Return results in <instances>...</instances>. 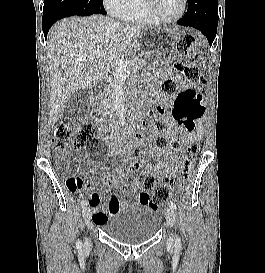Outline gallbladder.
<instances>
[{
	"mask_svg": "<svg viewBox=\"0 0 265 273\" xmlns=\"http://www.w3.org/2000/svg\"><path fill=\"white\" fill-rule=\"evenodd\" d=\"M89 101L90 94L87 90L81 89L74 93L65 106L63 119L68 123L80 121L88 111Z\"/></svg>",
	"mask_w": 265,
	"mask_h": 273,
	"instance_id": "bac80fb5",
	"label": "gallbladder"
}]
</instances>
